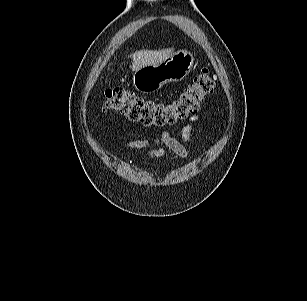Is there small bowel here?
<instances>
[{"label":"small bowel","mask_w":307,"mask_h":301,"mask_svg":"<svg viewBox=\"0 0 307 301\" xmlns=\"http://www.w3.org/2000/svg\"><path fill=\"white\" fill-rule=\"evenodd\" d=\"M200 116H193L181 130L180 137L176 138L164 132L160 137L150 141L148 139H133L124 144V148L128 150H142L144 152L140 161L144 159H159L164 155L162 145L172 150L181 158L188 156V141L191 136L193 124L199 120Z\"/></svg>","instance_id":"1"}]
</instances>
